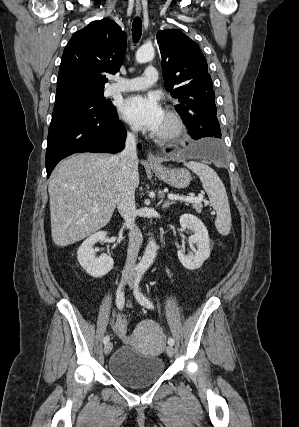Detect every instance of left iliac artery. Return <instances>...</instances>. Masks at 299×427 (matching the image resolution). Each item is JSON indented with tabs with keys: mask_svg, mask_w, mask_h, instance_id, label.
Here are the masks:
<instances>
[{
	"mask_svg": "<svg viewBox=\"0 0 299 427\" xmlns=\"http://www.w3.org/2000/svg\"><path fill=\"white\" fill-rule=\"evenodd\" d=\"M144 272H145L144 269H139L137 272V276H136L135 282H134V294H135L137 301L141 305H143L149 309H152V308H154L153 303L146 296H144L142 293H140L138 290V286H139L140 281L142 280ZM168 344L172 345V346L174 345V339L172 337H170L168 339Z\"/></svg>",
	"mask_w": 299,
	"mask_h": 427,
	"instance_id": "1",
	"label": "left iliac artery"
}]
</instances>
